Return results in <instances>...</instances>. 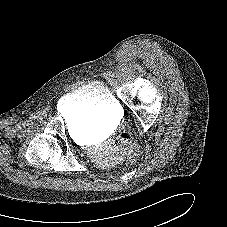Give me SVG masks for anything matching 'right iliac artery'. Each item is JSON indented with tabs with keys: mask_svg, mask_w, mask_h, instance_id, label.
<instances>
[{
	"mask_svg": "<svg viewBox=\"0 0 227 227\" xmlns=\"http://www.w3.org/2000/svg\"><path fill=\"white\" fill-rule=\"evenodd\" d=\"M36 117H37V116L31 114L29 118H30V119H35Z\"/></svg>",
	"mask_w": 227,
	"mask_h": 227,
	"instance_id": "obj_1",
	"label": "right iliac artery"
}]
</instances>
